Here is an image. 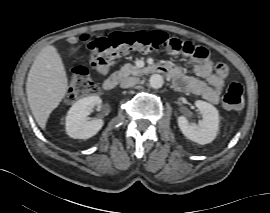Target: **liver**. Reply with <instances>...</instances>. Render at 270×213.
Returning a JSON list of instances; mask_svg holds the SVG:
<instances>
[{
    "instance_id": "6515ba94",
    "label": "liver",
    "mask_w": 270,
    "mask_h": 213,
    "mask_svg": "<svg viewBox=\"0 0 270 213\" xmlns=\"http://www.w3.org/2000/svg\"><path fill=\"white\" fill-rule=\"evenodd\" d=\"M68 89L63 61L53 45L44 47L35 58L26 82L29 107L44 129L51 112L58 107Z\"/></svg>"
}]
</instances>
